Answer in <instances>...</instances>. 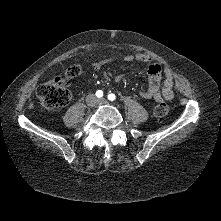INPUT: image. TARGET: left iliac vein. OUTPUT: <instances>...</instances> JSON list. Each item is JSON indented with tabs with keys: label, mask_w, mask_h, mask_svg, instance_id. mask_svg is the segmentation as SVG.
Segmentation results:
<instances>
[{
	"label": "left iliac vein",
	"mask_w": 221,
	"mask_h": 221,
	"mask_svg": "<svg viewBox=\"0 0 221 221\" xmlns=\"http://www.w3.org/2000/svg\"><path fill=\"white\" fill-rule=\"evenodd\" d=\"M98 102L102 104H108V101L105 98L99 99Z\"/></svg>",
	"instance_id": "4c4485c4"
}]
</instances>
